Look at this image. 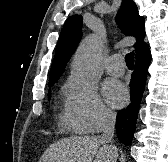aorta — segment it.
<instances>
[{"instance_id": "obj_1", "label": "aorta", "mask_w": 168, "mask_h": 162, "mask_svg": "<svg viewBox=\"0 0 168 162\" xmlns=\"http://www.w3.org/2000/svg\"><path fill=\"white\" fill-rule=\"evenodd\" d=\"M102 58V44L92 34L79 45L73 60L72 76L81 84H88L94 78Z\"/></svg>"}]
</instances>
